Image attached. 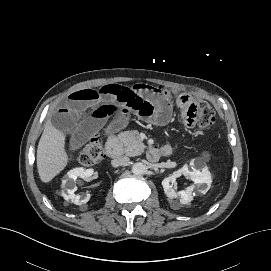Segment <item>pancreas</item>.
Wrapping results in <instances>:
<instances>
[{
	"label": "pancreas",
	"mask_w": 271,
	"mask_h": 271,
	"mask_svg": "<svg viewBox=\"0 0 271 271\" xmlns=\"http://www.w3.org/2000/svg\"><path fill=\"white\" fill-rule=\"evenodd\" d=\"M123 145V153L126 156H137L143 153L145 145L141 141L137 131H125L119 135Z\"/></svg>",
	"instance_id": "1"
}]
</instances>
